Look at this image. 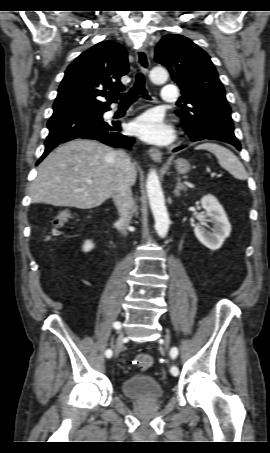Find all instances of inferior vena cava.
I'll list each match as a JSON object with an SVG mask.
<instances>
[{
	"instance_id": "inferior-vena-cava-1",
	"label": "inferior vena cava",
	"mask_w": 270,
	"mask_h": 453,
	"mask_svg": "<svg viewBox=\"0 0 270 453\" xmlns=\"http://www.w3.org/2000/svg\"><path fill=\"white\" fill-rule=\"evenodd\" d=\"M114 165L117 175L112 198L120 216V231L123 235H126V229L134 212V201L129 180L132 163L130 157L124 151H116L114 152Z\"/></svg>"
}]
</instances>
